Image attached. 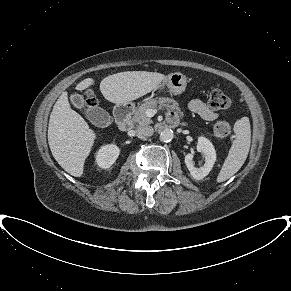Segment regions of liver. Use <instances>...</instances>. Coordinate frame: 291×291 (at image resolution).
<instances>
[{"mask_svg":"<svg viewBox=\"0 0 291 291\" xmlns=\"http://www.w3.org/2000/svg\"><path fill=\"white\" fill-rule=\"evenodd\" d=\"M165 77L157 72H120L105 77L100 91L108 101L126 104L156 89ZM94 84L93 78H87L76 89L82 91ZM96 137L81 115L70 107L67 92H63L53 107L48 126V143L55 160L70 175L81 177Z\"/></svg>","mask_w":291,"mask_h":291,"instance_id":"1","label":"liver"}]
</instances>
